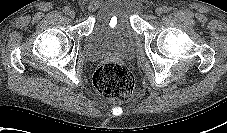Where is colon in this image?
<instances>
[{
    "mask_svg": "<svg viewBox=\"0 0 227 133\" xmlns=\"http://www.w3.org/2000/svg\"><path fill=\"white\" fill-rule=\"evenodd\" d=\"M98 93L105 97L125 100L134 90V78L131 72L117 62L104 63L98 67L93 77Z\"/></svg>",
    "mask_w": 227,
    "mask_h": 133,
    "instance_id": "1",
    "label": "colon"
}]
</instances>
